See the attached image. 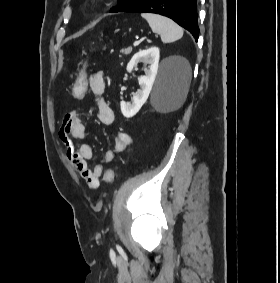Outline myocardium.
Wrapping results in <instances>:
<instances>
[{"instance_id":"myocardium-1","label":"myocardium","mask_w":280,"mask_h":283,"mask_svg":"<svg viewBox=\"0 0 280 283\" xmlns=\"http://www.w3.org/2000/svg\"><path fill=\"white\" fill-rule=\"evenodd\" d=\"M102 0H88V7L90 9H96L100 6Z\"/></svg>"}]
</instances>
